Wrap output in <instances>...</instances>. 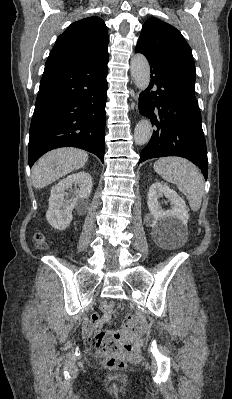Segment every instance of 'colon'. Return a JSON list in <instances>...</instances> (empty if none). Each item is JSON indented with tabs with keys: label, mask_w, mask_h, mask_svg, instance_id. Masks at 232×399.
Masks as SVG:
<instances>
[{
	"label": "colon",
	"mask_w": 232,
	"mask_h": 399,
	"mask_svg": "<svg viewBox=\"0 0 232 399\" xmlns=\"http://www.w3.org/2000/svg\"><path fill=\"white\" fill-rule=\"evenodd\" d=\"M33 241L39 252L48 248V241L42 232H37ZM142 328L140 313H131L126 318L123 330H118L117 326H102L101 330H94L96 353H138L136 337H141ZM122 365H127L124 355H107V358H101L102 368H121Z\"/></svg>",
	"instance_id": "5ec220e1"
}]
</instances>
